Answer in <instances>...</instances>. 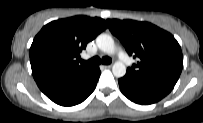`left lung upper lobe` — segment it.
Wrapping results in <instances>:
<instances>
[{
  "label": "left lung upper lobe",
  "mask_w": 203,
  "mask_h": 123,
  "mask_svg": "<svg viewBox=\"0 0 203 123\" xmlns=\"http://www.w3.org/2000/svg\"><path fill=\"white\" fill-rule=\"evenodd\" d=\"M129 55L138 57L127 73L175 86L183 68L181 47L169 32L148 22L107 20Z\"/></svg>",
  "instance_id": "1"
}]
</instances>
